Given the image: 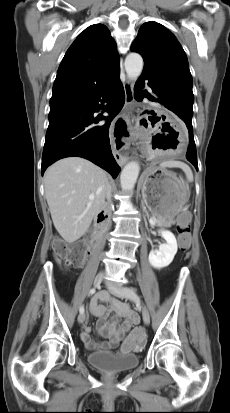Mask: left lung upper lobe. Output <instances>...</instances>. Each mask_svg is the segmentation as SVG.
I'll list each match as a JSON object with an SVG mask.
<instances>
[{
	"mask_svg": "<svg viewBox=\"0 0 230 413\" xmlns=\"http://www.w3.org/2000/svg\"><path fill=\"white\" fill-rule=\"evenodd\" d=\"M144 59L142 72L157 100L193 115L192 76L187 56L176 37L155 21L145 22L131 46Z\"/></svg>",
	"mask_w": 230,
	"mask_h": 413,
	"instance_id": "5c2ea615",
	"label": "left lung upper lobe"
}]
</instances>
